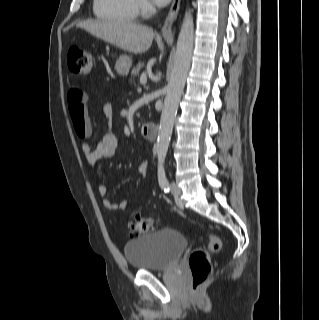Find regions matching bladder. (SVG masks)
<instances>
[{"label": "bladder", "instance_id": "31cf9c89", "mask_svg": "<svg viewBox=\"0 0 319 320\" xmlns=\"http://www.w3.org/2000/svg\"><path fill=\"white\" fill-rule=\"evenodd\" d=\"M187 247L188 240L184 235L174 229L163 228L126 242L124 253L134 270L157 271L176 264Z\"/></svg>", "mask_w": 319, "mask_h": 320}]
</instances>
